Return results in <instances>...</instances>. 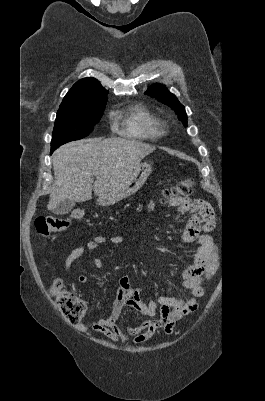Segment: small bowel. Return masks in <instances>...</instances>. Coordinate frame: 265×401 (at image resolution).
Wrapping results in <instances>:
<instances>
[{
	"label": "small bowel",
	"mask_w": 265,
	"mask_h": 401,
	"mask_svg": "<svg viewBox=\"0 0 265 401\" xmlns=\"http://www.w3.org/2000/svg\"><path fill=\"white\" fill-rule=\"evenodd\" d=\"M168 204L177 210L179 215L189 213L190 217L181 236L184 244L196 242L199 249L195 256L193 265L184 269L181 273L182 285L190 293L187 298H175L161 296L156 301H144L142 291L132 288L130 278L124 276L120 279L116 298L112 304L111 313L108 317L96 321L81 323L77 328L82 332L93 330L101 333L113 342H132L141 344L152 338L160 329H164L166 323L174 327V324L184 316L195 312L199 306V298L204 294L203 281L216 269L217 253L212 238L208 235L215 226L214 209L207 201L199 198H171ZM153 202L149 204L152 209ZM106 242L120 244L123 242L121 236L100 235L89 242L74 248L66 257L64 270L69 273L72 264L81 258L86 252L98 249ZM96 268H102L103 262L99 258L92 260ZM89 280L87 275H80L78 283L85 284ZM161 306L160 316L157 319L148 320L138 326H126L121 328L118 319L125 306L131 307L143 316L154 317L158 306Z\"/></svg>",
	"instance_id": "c3829d8e"
}]
</instances>
